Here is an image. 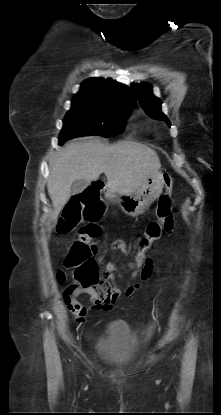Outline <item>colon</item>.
Returning <instances> with one entry per match:
<instances>
[{
	"label": "colon",
	"mask_w": 221,
	"mask_h": 415,
	"mask_svg": "<svg viewBox=\"0 0 221 415\" xmlns=\"http://www.w3.org/2000/svg\"><path fill=\"white\" fill-rule=\"evenodd\" d=\"M165 193L158 200L157 220L146 226L144 234L137 241V251L131 257L132 275L134 280L140 271L146 269L147 249L152 242L159 237L160 233L166 225L172 220L171 212V192L173 187L172 178L165 175ZM101 217V209L98 198L93 189L86 190L73 197L65 207L63 214L57 225L58 234H68L72 232L82 221L85 224L80 228L79 234L75 241L71 244L69 251L64 259L65 267L73 270L75 278L87 286L93 285L99 281L98 258L100 248L91 243V240L101 235V227L98 221ZM106 269L103 275L106 279L113 281H124V276H114L113 267L119 266L118 260L101 257ZM57 279L63 283L65 276L59 272Z\"/></svg>",
	"instance_id": "5ec220e1"
}]
</instances>
